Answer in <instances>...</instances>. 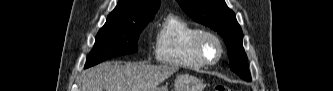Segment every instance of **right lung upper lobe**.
<instances>
[{
  "instance_id": "obj_1",
  "label": "right lung upper lobe",
  "mask_w": 333,
  "mask_h": 91,
  "mask_svg": "<svg viewBox=\"0 0 333 91\" xmlns=\"http://www.w3.org/2000/svg\"><path fill=\"white\" fill-rule=\"evenodd\" d=\"M160 6V0H119L107 21H134L153 18Z\"/></svg>"
}]
</instances>
